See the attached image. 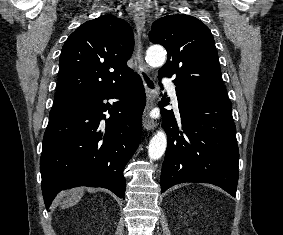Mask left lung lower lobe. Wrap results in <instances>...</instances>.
Returning <instances> with one entry per match:
<instances>
[{
  "label": "left lung lower lobe",
  "mask_w": 283,
  "mask_h": 235,
  "mask_svg": "<svg viewBox=\"0 0 283 235\" xmlns=\"http://www.w3.org/2000/svg\"><path fill=\"white\" fill-rule=\"evenodd\" d=\"M181 123L161 110L168 145L161 172V192L184 182L210 183L233 197L239 152L229 99H211L176 87ZM160 107L168 104L164 100Z\"/></svg>",
  "instance_id": "1"
}]
</instances>
